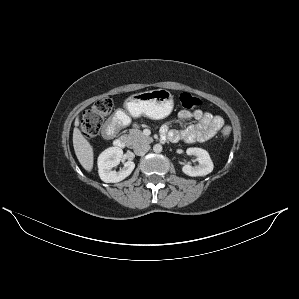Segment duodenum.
<instances>
[{
    "label": "duodenum",
    "mask_w": 299,
    "mask_h": 299,
    "mask_svg": "<svg viewBox=\"0 0 299 299\" xmlns=\"http://www.w3.org/2000/svg\"><path fill=\"white\" fill-rule=\"evenodd\" d=\"M119 124L117 122L109 121L104 129H103V135L106 139H112L116 132L118 131ZM114 144L118 148H125L127 145V140L124 137H117L114 140Z\"/></svg>",
    "instance_id": "obj_1"
}]
</instances>
